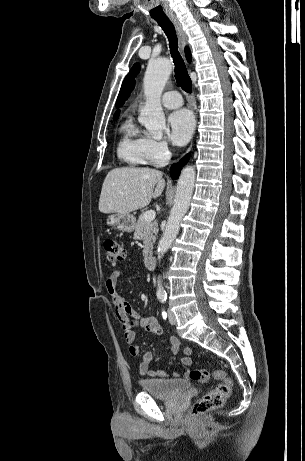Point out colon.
<instances>
[{"mask_svg": "<svg viewBox=\"0 0 305 461\" xmlns=\"http://www.w3.org/2000/svg\"><path fill=\"white\" fill-rule=\"evenodd\" d=\"M106 259L112 265H117L126 258V251L122 244L116 240L104 242ZM210 376L219 381L213 389L200 397L191 408V415L197 416L208 411L220 408L231 393L233 380L231 376L222 369H194L188 374L192 381L206 382Z\"/></svg>", "mask_w": 305, "mask_h": 461, "instance_id": "obj_1", "label": "colon"}]
</instances>
